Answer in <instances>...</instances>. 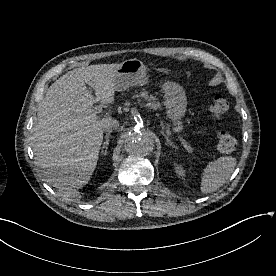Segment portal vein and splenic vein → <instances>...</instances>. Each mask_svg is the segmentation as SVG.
Wrapping results in <instances>:
<instances>
[{
    "label": "portal vein and splenic vein",
    "mask_w": 276,
    "mask_h": 276,
    "mask_svg": "<svg viewBox=\"0 0 276 276\" xmlns=\"http://www.w3.org/2000/svg\"><path fill=\"white\" fill-rule=\"evenodd\" d=\"M94 111L96 114H99L102 112V106L100 105H97L94 107ZM179 140L181 141V143L183 144L184 148L189 152L191 153L192 152V148L187 144L186 140L183 139V137L181 136H178Z\"/></svg>",
    "instance_id": "obj_1"
}]
</instances>
